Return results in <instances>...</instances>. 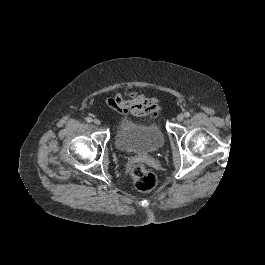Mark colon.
Returning a JSON list of instances; mask_svg holds the SVG:
<instances>
[{"label":"colon","instance_id":"obj_1","mask_svg":"<svg viewBox=\"0 0 265 265\" xmlns=\"http://www.w3.org/2000/svg\"><path fill=\"white\" fill-rule=\"evenodd\" d=\"M131 177L136 189L142 192H149L157 185L156 175L143 164H136L132 168Z\"/></svg>","mask_w":265,"mask_h":265}]
</instances>
